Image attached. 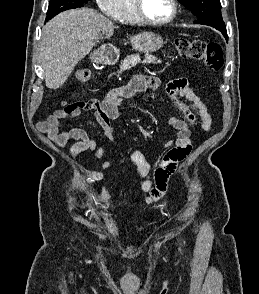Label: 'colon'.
<instances>
[{
    "label": "colon",
    "mask_w": 259,
    "mask_h": 294,
    "mask_svg": "<svg viewBox=\"0 0 259 294\" xmlns=\"http://www.w3.org/2000/svg\"><path fill=\"white\" fill-rule=\"evenodd\" d=\"M174 47L178 54L185 59L202 61L206 67L218 72L223 67V52L219 44L202 40L177 38ZM92 79V72L88 68L76 72L75 80L79 84H88Z\"/></svg>",
    "instance_id": "5ec220e1"
}]
</instances>
